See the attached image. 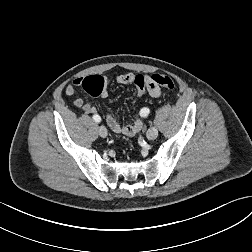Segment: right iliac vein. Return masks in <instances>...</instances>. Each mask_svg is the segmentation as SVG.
Instances as JSON below:
<instances>
[{
    "mask_svg": "<svg viewBox=\"0 0 252 252\" xmlns=\"http://www.w3.org/2000/svg\"><path fill=\"white\" fill-rule=\"evenodd\" d=\"M98 132L102 138H105L108 134L107 129L104 126H101Z\"/></svg>",
    "mask_w": 252,
    "mask_h": 252,
    "instance_id": "obj_1",
    "label": "right iliac vein"
}]
</instances>
